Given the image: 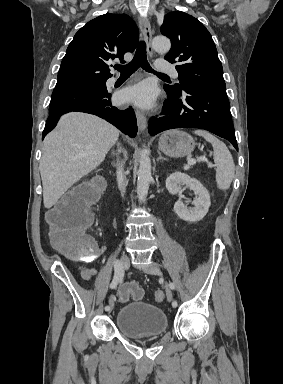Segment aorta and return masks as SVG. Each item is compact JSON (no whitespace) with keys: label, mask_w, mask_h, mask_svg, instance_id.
Returning <instances> with one entry per match:
<instances>
[{"label":"aorta","mask_w":283,"mask_h":384,"mask_svg":"<svg viewBox=\"0 0 283 384\" xmlns=\"http://www.w3.org/2000/svg\"><path fill=\"white\" fill-rule=\"evenodd\" d=\"M152 45L155 51L159 53H167L170 50V40L164 36H157L153 39ZM152 181L151 175V161L150 157L145 151L140 153L139 170L137 180V194L140 200L144 199L148 194L150 182Z\"/></svg>","instance_id":"aorta-1"}]
</instances>
